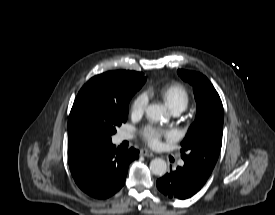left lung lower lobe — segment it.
<instances>
[{"mask_svg": "<svg viewBox=\"0 0 275 215\" xmlns=\"http://www.w3.org/2000/svg\"><path fill=\"white\" fill-rule=\"evenodd\" d=\"M211 173L184 163V166L170 170L156 182L157 188L167 197L188 199L206 183Z\"/></svg>", "mask_w": 275, "mask_h": 215, "instance_id": "left-lung-lower-lobe-1", "label": "left lung lower lobe"}]
</instances>
